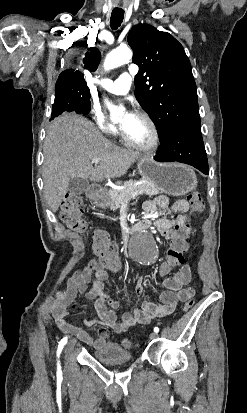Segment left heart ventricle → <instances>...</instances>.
<instances>
[{"mask_svg": "<svg viewBox=\"0 0 247 413\" xmlns=\"http://www.w3.org/2000/svg\"><path fill=\"white\" fill-rule=\"evenodd\" d=\"M124 133L132 140L143 144L150 143L154 138L153 129L142 118L134 126L124 130Z\"/></svg>", "mask_w": 247, "mask_h": 413, "instance_id": "1", "label": "left heart ventricle"}]
</instances>
